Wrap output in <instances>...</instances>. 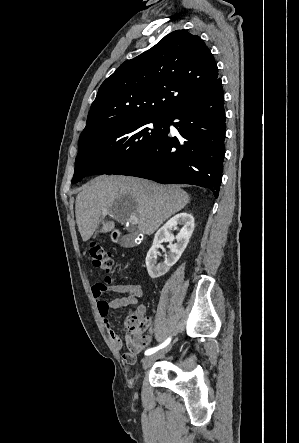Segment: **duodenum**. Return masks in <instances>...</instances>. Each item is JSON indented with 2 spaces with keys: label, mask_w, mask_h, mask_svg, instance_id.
Wrapping results in <instances>:
<instances>
[{
  "label": "duodenum",
  "mask_w": 299,
  "mask_h": 443,
  "mask_svg": "<svg viewBox=\"0 0 299 443\" xmlns=\"http://www.w3.org/2000/svg\"><path fill=\"white\" fill-rule=\"evenodd\" d=\"M119 236H120V233L118 231H114V233H113L114 239H118Z\"/></svg>",
  "instance_id": "obj_1"
}]
</instances>
